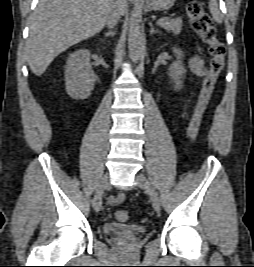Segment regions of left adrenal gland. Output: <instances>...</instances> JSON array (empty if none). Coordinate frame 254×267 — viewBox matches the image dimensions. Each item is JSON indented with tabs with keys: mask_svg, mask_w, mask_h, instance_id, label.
I'll return each mask as SVG.
<instances>
[{
	"mask_svg": "<svg viewBox=\"0 0 254 267\" xmlns=\"http://www.w3.org/2000/svg\"><path fill=\"white\" fill-rule=\"evenodd\" d=\"M149 26H150V35L160 33L159 30L155 29V27H154L152 22H149Z\"/></svg>",
	"mask_w": 254,
	"mask_h": 267,
	"instance_id": "left-adrenal-gland-1",
	"label": "left adrenal gland"
}]
</instances>
